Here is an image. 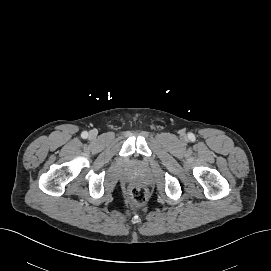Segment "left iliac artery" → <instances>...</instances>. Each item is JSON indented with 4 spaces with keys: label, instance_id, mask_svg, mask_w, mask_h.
I'll return each mask as SVG.
<instances>
[{
    "label": "left iliac artery",
    "instance_id": "obj_1",
    "mask_svg": "<svg viewBox=\"0 0 271 271\" xmlns=\"http://www.w3.org/2000/svg\"><path fill=\"white\" fill-rule=\"evenodd\" d=\"M189 138H190V139H194V135H193V134H190V135H189Z\"/></svg>",
    "mask_w": 271,
    "mask_h": 271
}]
</instances>
